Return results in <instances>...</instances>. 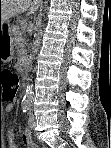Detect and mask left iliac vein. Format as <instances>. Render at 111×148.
I'll list each match as a JSON object with an SVG mask.
<instances>
[{
	"label": "left iliac vein",
	"mask_w": 111,
	"mask_h": 148,
	"mask_svg": "<svg viewBox=\"0 0 111 148\" xmlns=\"http://www.w3.org/2000/svg\"><path fill=\"white\" fill-rule=\"evenodd\" d=\"M28 115H29V118H28L29 127L34 128L35 127V116L31 110L29 111Z\"/></svg>",
	"instance_id": "1"
}]
</instances>
